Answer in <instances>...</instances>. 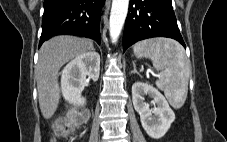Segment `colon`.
Wrapping results in <instances>:
<instances>
[{
  "label": "colon",
  "mask_w": 227,
  "mask_h": 142,
  "mask_svg": "<svg viewBox=\"0 0 227 142\" xmlns=\"http://www.w3.org/2000/svg\"><path fill=\"white\" fill-rule=\"evenodd\" d=\"M83 118L79 115H73L67 118H59L53 124L55 139L65 138L74 130L75 126L80 124Z\"/></svg>",
  "instance_id": "colon-1"
}]
</instances>
